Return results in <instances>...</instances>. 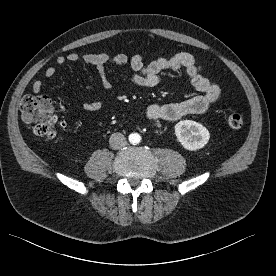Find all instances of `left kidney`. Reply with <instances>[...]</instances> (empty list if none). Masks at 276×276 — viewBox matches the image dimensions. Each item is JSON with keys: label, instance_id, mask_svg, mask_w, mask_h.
<instances>
[{"label": "left kidney", "instance_id": "obj_1", "mask_svg": "<svg viewBox=\"0 0 276 276\" xmlns=\"http://www.w3.org/2000/svg\"><path fill=\"white\" fill-rule=\"evenodd\" d=\"M175 134L181 145L189 151L203 148L210 139L208 129L192 120L178 122L175 125Z\"/></svg>", "mask_w": 276, "mask_h": 276}]
</instances>
